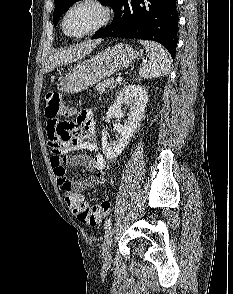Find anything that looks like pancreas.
<instances>
[{
  "label": "pancreas",
  "instance_id": "pancreas-1",
  "mask_svg": "<svg viewBox=\"0 0 233 294\" xmlns=\"http://www.w3.org/2000/svg\"><path fill=\"white\" fill-rule=\"evenodd\" d=\"M118 84H120V83L115 81L112 78H109V79H106V80L100 82L99 84H97L96 90L100 94H103V93H105L107 88H109V89L115 88Z\"/></svg>",
  "mask_w": 233,
  "mask_h": 294
}]
</instances>
